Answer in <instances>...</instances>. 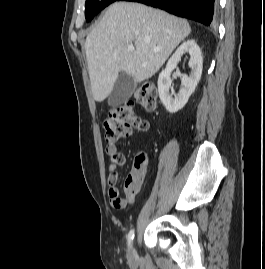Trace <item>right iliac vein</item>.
<instances>
[{"instance_id": "right-iliac-vein-1", "label": "right iliac vein", "mask_w": 265, "mask_h": 269, "mask_svg": "<svg viewBox=\"0 0 265 269\" xmlns=\"http://www.w3.org/2000/svg\"><path fill=\"white\" fill-rule=\"evenodd\" d=\"M127 258L129 261H133L135 258V251L133 248H130L127 253Z\"/></svg>"}]
</instances>
